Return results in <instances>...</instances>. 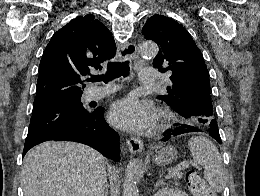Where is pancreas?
Masks as SVG:
<instances>
[{
	"label": "pancreas",
	"mask_w": 260,
	"mask_h": 196,
	"mask_svg": "<svg viewBox=\"0 0 260 196\" xmlns=\"http://www.w3.org/2000/svg\"><path fill=\"white\" fill-rule=\"evenodd\" d=\"M177 178H182V174H180V176H176V180H177Z\"/></svg>",
	"instance_id": "obj_1"
}]
</instances>
